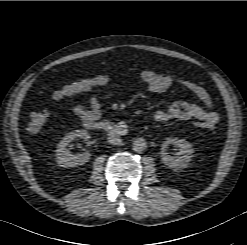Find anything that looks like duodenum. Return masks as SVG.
<instances>
[{"label":"duodenum","instance_id":"duodenum-1","mask_svg":"<svg viewBox=\"0 0 247 245\" xmlns=\"http://www.w3.org/2000/svg\"><path fill=\"white\" fill-rule=\"evenodd\" d=\"M85 126L87 129L107 132L118 137H124L129 132L127 126L123 123L91 121L86 122Z\"/></svg>","mask_w":247,"mask_h":245}]
</instances>
